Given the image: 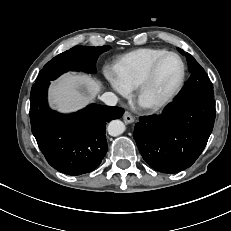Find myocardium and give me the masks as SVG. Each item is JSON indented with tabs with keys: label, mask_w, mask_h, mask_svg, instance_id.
Returning <instances> with one entry per match:
<instances>
[{
	"label": "myocardium",
	"mask_w": 231,
	"mask_h": 231,
	"mask_svg": "<svg viewBox=\"0 0 231 231\" xmlns=\"http://www.w3.org/2000/svg\"><path fill=\"white\" fill-rule=\"evenodd\" d=\"M169 56L177 57L181 63V74L177 84L173 87L171 91H169L162 98L155 101H145L144 94L146 90L151 84L160 64ZM185 77H186V64L183 58L181 57V55H179L176 52L168 51L153 62V64L150 66V68L148 69L142 80L136 86V98L138 102L141 104V106L145 109L148 110L161 109L166 105H168L177 96V94L180 92V90L183 87V84L185 82Z\"/></svg>",
	"instance_id": "1"
}]
</instances>
